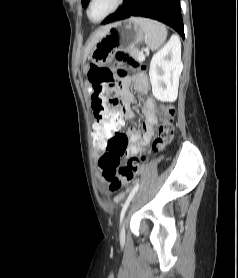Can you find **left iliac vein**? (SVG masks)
Here are the masks:
<instances>
[{
    "label": "left iliac vein",
    "instance_id": "obj_1",
    "mask_svg": "<svg viewBox=\"0 0 238 278\" xmlns=\"http://www.w3.org/2000/svg\"><path fill=\"white\" fill-rule=\"evenodd\" d=\"M125 236V221L122 224L121 231H120V237L123 238Z\"/></svg>",
    "mask_w": 238,
    "mask_h": 278
}]
</instances>
